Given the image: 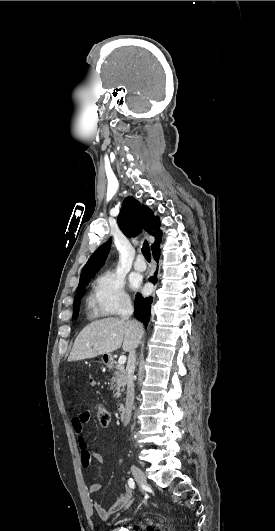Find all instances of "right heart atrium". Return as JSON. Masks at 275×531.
<instances>
[{
    "label": "right heart atrium",
    "mask_w": 275,
    "mask_h": 531,
    "mask_svg": "<svg viewBox=\"0 0 275 531\" xmlns=\"http://www.w3.org/2000/svg\"><path fill=\"white\" fill-rule=\"evenodd\" d=\"M130 305V297L125 290L124 278L107 271L100 274L93 283L90 307L99 316L116 315Z\"/></svg>",
    "instance_id": "obj_1"
}]
</instances>
